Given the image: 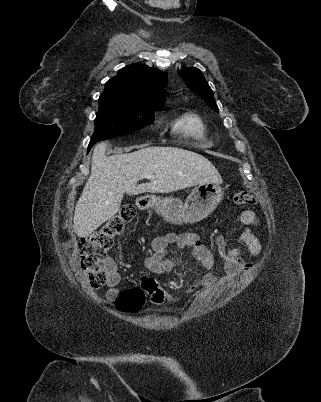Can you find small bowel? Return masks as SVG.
Instances as JSON below:
<instances>
[{
    "instance_id": "1",
    "label": "small bowel",
    "mask_w": 321,
    "mask_h": 402,
    "mask_svg": "<svg viewBox=\"0 0 321 402\" xmlns=\"http://www.w3.org/2000/svg\"><path fill=\"white\" fill-rule=\"evenodd\" d=\"M234 222L245 227L238 235V243L246 246L252 255H259L260 243L253 232V227L258 224L256 213L250 209L244 210L234 218ZM214 243L224 262V278L233 279L252 270V264L243 260L240 250L237 247H229L222 236H216ZM171 244L177 245L180 249L187 248L190 250L195 273L193 290H207L220 281L221 277L214 272L202 273L203 270L212 268L213 256L204 245L202 238L196 233H169L156 238L152 244L153 254L144 261V267L149 273L161 274L175 268L176 260L167 257L168 247ZM106 264L108 270L106 297L113 300L119 293L121 274L111 260H108ZM141 284L142 288L150 295L152 304L162 305L165 302L175 301V298L155 281L144 278Z\"/></svg>"
}]
</instances>
